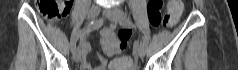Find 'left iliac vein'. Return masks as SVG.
Instances as JSON below:
<instances>
[{
  "label": "left iliac vein",
  "instance_id": "1",
  "mask_svg": "<svg viewBox=\"0 0 238 70\" xmlns=\"http://www.w3.org/2000/svg\"><path fill=\"white\" fill-rule=\"evenodd\" d=\"M104 15L110 19L112 22L115 23H120L122 21L123 15L122 12L119 8H110V9H106L104 10ZM136 52L138 54L139 57H144L145 55V49L143 48V46L141 44H139L136 48Z\"/></svg>",
  "mask_w": 238,
  "mask_h": 70
}]
</instances>
